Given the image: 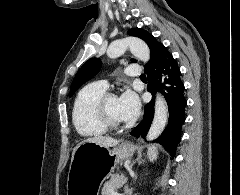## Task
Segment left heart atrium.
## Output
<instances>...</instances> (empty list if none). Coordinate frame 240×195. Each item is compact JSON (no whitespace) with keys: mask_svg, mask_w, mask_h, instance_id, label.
Masks as SVG:
<instances>
[{"mask_svg":"<svg viewBox=\"0 0 240 195\" xmlns=\"http://www.w3.org/2000/svg\"><path fill=\"white\" fill-rule=\"evenodd\" d=\"M121 114L124 121L134 120L140 111V101L136 93L125 91L119 98Z\"/></svg>","mask_w":240,"mask_h":195,"instance_id":"1","label":"left heart atrium"}]
</instances>
